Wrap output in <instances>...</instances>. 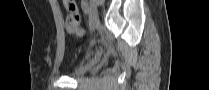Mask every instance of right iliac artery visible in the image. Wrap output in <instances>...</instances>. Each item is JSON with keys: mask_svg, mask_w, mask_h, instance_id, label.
<instances>
[{"mask_svg": "<svg viewBox=\"0 0 209 90\" xmlns=\"http://www.w3.org/2000/svg\"><path fill=\"white\" fill-rule=\"evenodd\" d=\"M82 9H83V11H84V13H85L86 15L89 14V6H88V3L84 2V3L82 4Z\"/></svg>", "mask_w": 209, "mask_h": 90, "instance_id": "obj_1", "label": "right iliac artery"}]
</instances>
